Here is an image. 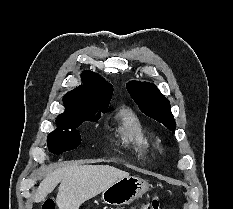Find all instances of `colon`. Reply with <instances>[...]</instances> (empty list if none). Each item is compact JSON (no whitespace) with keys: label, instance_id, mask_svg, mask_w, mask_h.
I'll return each instance as SVG.
<instances>
[{"label":"colon","instance_id":"1","mask_svg":"<svg viewBox=\"0 0 233 209\" xmlns=\"http://www.w3.org/2000/svg\"><path fill=\"white\" fill-rule=\"evenodd\" d=\"M41 209H55V204L53 201L47 200L43 203ZM140 209H161L159 198L157 196L150 198Z\"/></svg>","mask_w":233,"mask_h":209}]
</instances>
